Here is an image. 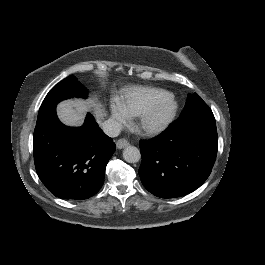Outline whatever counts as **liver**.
<instances>
[{
	"label": "liver",
	"mask_w": 265,
	"mask_h": 265,
	"mask_svg": "<svg viewBox=\"0 0 265 265\" xmlns=\"http://www.w3.org/2000/svg\"><path fill=\"white\" fill-rule=\"evenodd\" d=\"M101 88L104 80H98ZM118 88H113L111 96L116 98ZM91 113L98 125H101L110 116L105 108L100 92L92 91L87 98L73 97L64 99L56 105V114L59 121L67 127H81L85 121L86 114Z\"/></svg>",
	"instance_id": "6515ba94"
}]
</instances>
